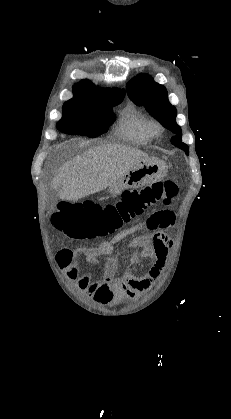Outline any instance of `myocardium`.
I'll return each instance as SVG.
<instances>
[{
  "label": "myocardium",
  "mask_w": 231,
  "mask_h": 419,
  "mask_svg": "<svg viewBox=\"0 0 231 419\" xmlns=\"http://www.w3.org/2000/svg\"><path fill=\"white\" fill-rule=\"evenodd\" d=\"M150 129L152 134H158L161 132L162 127L159 122L154 121L150 123Z\"/></svg>",
  "instance_id": "myocardium-1"
}]
</instances>
